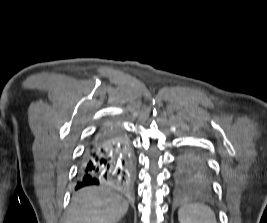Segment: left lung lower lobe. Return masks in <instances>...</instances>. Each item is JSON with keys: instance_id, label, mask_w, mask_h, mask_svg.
Segmentation results:
<instances>
[{"instance_id": "0a47b994", "label": "left lung lower lobe", "mask_w": 267, "mask_h": 223, "mask_svg": "<svg viewBox=\"0 0 267 223\" xmlns=\"http://www.w3.org/2000/svg\"><path fill=\"white\" fill-rule=\"evenodd\" d=\"M211 175V171H176V176L186 182L185 189H196L197 183H207L208 179L204 177ZM198 189H205V184H198Z\"/></svg>"}]
</instances>
